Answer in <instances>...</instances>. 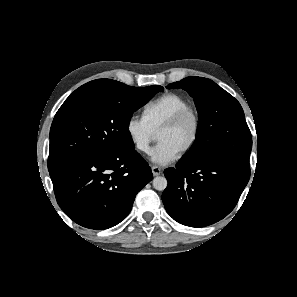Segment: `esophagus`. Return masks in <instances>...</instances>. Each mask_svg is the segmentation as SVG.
<instances>
[{"label":"esophagus","mask_w":297,"mask_h":297,"mask_svg":"<svg viewBox=\"0 0 297 297\" xmlns=\"http://www.w3.org/2000/svg\"><path fill=\"white\" fill-rule=\"evenodd\" d=\"M151 170L154 176H158L161 174V168L158 166H152Z\"/></svg>","instance_id":"34e87169"}]
</instances>
